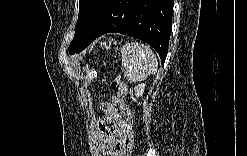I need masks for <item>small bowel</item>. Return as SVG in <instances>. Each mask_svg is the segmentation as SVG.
<instances>
[{"mask_svg":"<svg viewBox=\"0 0 247 156\" xmlns=\"http://www.w3.org/2000/svg\"><path fill=\"white\" fill-rule=\"evenodd\" d=\"M104 112L98 125V135L104 155H126L132 147V130L125 124L113 97L112 102L101 104Z\"/></svg>","mask_w":247,"mask_h":156,"instance_id":"c3829d8e","label":"small bowel"}]
</instances>
